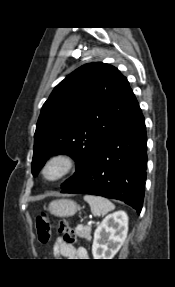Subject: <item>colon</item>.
<instances>
[{
  "mask_svg": "<svg viewBox=\"0 0 175 287\" xmlns=\"http://www.w3.org/2000/svg\"><path fill=\"white\" fill-rule=\"evenodd\" d=\"M58 232L63 236V239L67 244L72 245L76 241L74 231L64 220H61L58 223ZM36 233L38 240L41 243L47 244L50 242L52 236V223L46 212L39 213L36 218Z\"/></svg>",
  "mask_w": 175,
  "mask_h": 287,
  "instance_id": "colon-1",
  "label": "colon"
}]
</instances>
